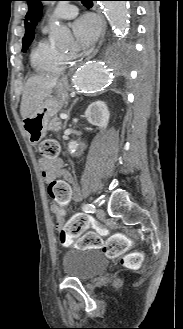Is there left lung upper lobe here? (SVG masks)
<instances>
[{"label": "left lung upper lobe", "mask_w": 183, "mask_h": 329, "mask_svg": "<svg viewBox=\"0 0 183 329\" xmlns=\"http://www.w3.org/2000/svg\"><path fill=\"white\" fill-rule=\"evenodd\" d=\"M28 3V13L25 16V36L23 37V48L22 51L26 52L29 45L34 39L35 27L40 21L42 16V5L43 0H25Z\"/></svg>", "instance_id": "obj_1"}]
</instances>
